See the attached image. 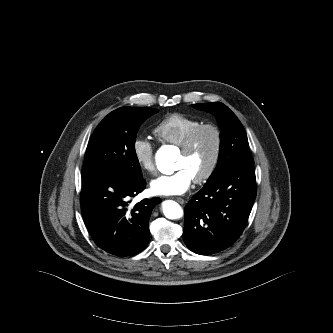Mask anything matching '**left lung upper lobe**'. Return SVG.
<instances>
[{"label": "left lung upper lobe", "mask_w": 333, "mask_h": 333, "mask_svg": "<svg viewBox=\"0 0 333 333\" xmlns=\"http://www.w3.org/2000/svg\"><path fill=\"white\" fill-rule=\"evenodd\" d=\"M194 108L212 112L218 120L221 129L219 159L216 169L206 183L216 179L227 170L253 165L254 161L249 151L245 130L236 115L223 103H199Z\"/></svg>", "instance_id": "1"}]
</instances>
